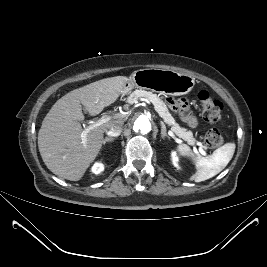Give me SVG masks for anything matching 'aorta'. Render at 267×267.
<instances>
[{
    "label": "aorta",
    "instance_id": "762f6f07",
    "mask_svg": "<svg viewBox=\"0 0 267 267\" xmlns=\"http://www.w3.org/2000/svg\"><path fill=\"white\" fill-rule=\"evenodd\" d=\"M133 129L141 134L149 133L152 130L150 119L145 115L139 116L134 122Z\"/></svg>",
    "mask_w": 267,
    "mask_h": 267
}]
</instances>
